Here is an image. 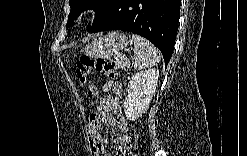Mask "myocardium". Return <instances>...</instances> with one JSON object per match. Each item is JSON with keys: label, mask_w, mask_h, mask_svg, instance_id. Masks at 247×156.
I'll use <instances>...</instances> for the list:
<instances>
[{"label": "myocardium", "mask_w": 247, "mask_h": 156, "mask_svg": "<svg viewBox=\"0 0 247 156\" xmlns=\"http://www.w3.org/2000/svg\"><path fill=\"white\" fill-rule=\"evenodd\" d=\"M91 14H92V12L90 10L85 11L84 13H82L79 16V21L80 22H85L86 20H88L90 18Z\"/></svg>", "instance_id": "1"}]
</instances>
